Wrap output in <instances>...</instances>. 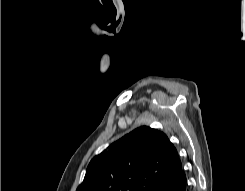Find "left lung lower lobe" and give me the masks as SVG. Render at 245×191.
Returning a JSON list of instances; mask_svg holds the SVG:
<instances>
[{
    "mask_svg": "<svg viewBox=\"0 0 245 191\" xmlns=\"http://www.w3.org/2000/svg\"><path fill=\"white\" fill-rule=\"evenodd\" d=\"M155 191H188L187 178L180 159Z\"/></svg>",
    "mask_w": 245,
    "mask_h": 191,
    "instance_id": "0a47b994",
    "label": "left lung lower lobe"
}]
</instances>
